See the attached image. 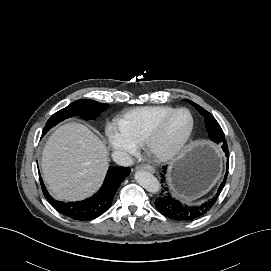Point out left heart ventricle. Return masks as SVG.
I'll list each match as a JSON object with an SVG mask.
<instances>
[{
  "instance_id": "b2bd125f",
  "label": "left heart ventricle",
  "mask_w": 271,
  "mask_h": 271,
  "mask_svg": "<svg viewBox=\"0 0 271 271\" xmlns=\"http://www.w3.org/2000/svg\"><path fill=\"white\" fill-rule=\"evenodd\" d=\"M190 125L191 119L188 113L180 112L176 114L170 121L157 146L159 148H165L177 144L187 135Z\"/></svg>"
}]
</instances>
